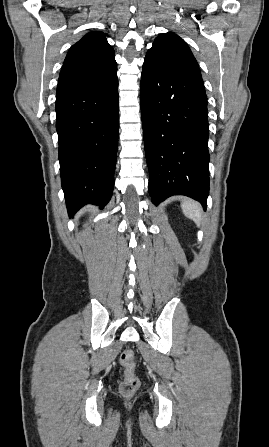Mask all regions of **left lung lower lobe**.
Wrapping results in <instances>:
<instances>
[{
  "instance_id": "1",
  "label": "left lung lower lobe",
  "mask_w": 269,
  "mask_h": 447,
  "mask_svg": "<svg viewBox=\"0 0 269 447\" xmlns=\"http://www.w3.org/2000/svg\"><path fill=\"white\" fill-rule=\"evenodd\" d=\"M140 101L153 204L172 195H185L206 209L209 130L201 75L148 53Z\"/></svg>"
}]
</instances>
